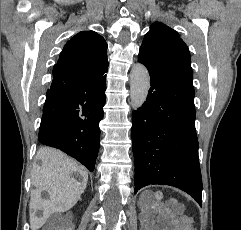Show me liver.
<instances>
[{"instance_id":"liver-1","label":"liver","mask_w":241,"mask_h":230,"mask_svg":"<svg viewBox=\"0 0 241 230\" xmlns=\"http://www.w3.org/2000/svg\"><path fill=\"white\" fill-rule=\"evenodd\" d=\"M36 159L40 164L34 165L32 180L38 195L32 191L29 204L32 230L41 228L52 213L71 209L86 189L88 181V171L59 150L40 148ZM73 173H78L81 180L78 181ZM42 189L50 193V200L41 198ZM37 211L42 212L40 217L36 215Z\"/></svg>"}]
</instances>
